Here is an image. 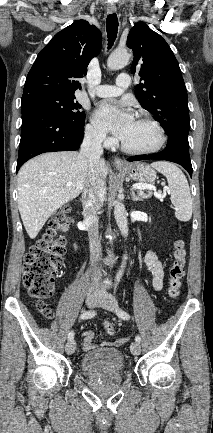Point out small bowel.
Here are the masks:
<instances>
[{
	"label": "small bowel",
	"instance_id": "c3829d8e",
	"mask_svg": "<svg viewBox=\"0 0 213 433\" xmlns=\"http://www.w3.org/2000/svg\"><path fill=\"white\" fill-rule=\"evenodd\" d=\"M144 263L148 273L150 274L151 284L154 290L160 291L164 285V269L162 262L158 258L155 252L148 251L144 257ZM94 334L90 331H85L83 333V344L82 351L86 352L93 348ZM127 341V338H119L114 342L108 343L112 346H121Z\"/></svg>",
	"mask_w": 213,
	"mask_h": 433
}]
</instances>
